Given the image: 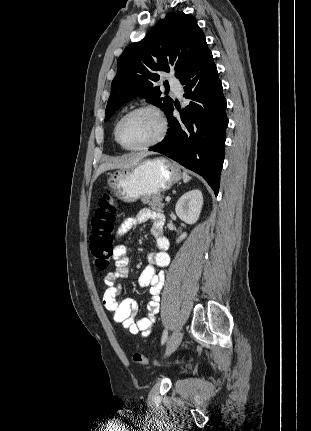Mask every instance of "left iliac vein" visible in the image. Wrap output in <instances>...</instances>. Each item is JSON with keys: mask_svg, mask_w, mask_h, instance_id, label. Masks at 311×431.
<instances>
[{"mask_svg": "<svg viewBox=\"0 0 311 431\" xmlns=\"http://www.w3.org/2000/svg\"><path fill=\"white\" fill-rule=\"evenodd\" d=\"M182 338H183V333L180 330H176L172 334L171 338L167 343L165 357H168L171 353H173L177 349V347L182 341Z\"/></svg>", "mask_w": 311, "mask_h": 431, "instance_id": "left-iliac-vein-1", "label": "left iliac vein"}]
</instances>
